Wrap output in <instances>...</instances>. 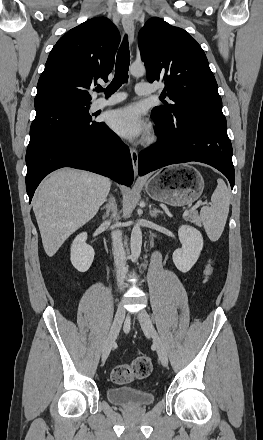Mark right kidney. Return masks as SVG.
Wrapping results in <instances>:
<instances>
[{"label":"right kidney","instance_id":"ca27d5eb","mask_svg":"<svg viewBox=\"0 0 263 440\" xmlns=\"http://www.w3.org/2000/svg\"><path fill=\"white\" fill-rule=\"evenodd\" d=\"M87 233L83 232L76 236L71 245L70 260L79 272H86L94 259V249L86 244Z\"/></svg>","mask_w":263,"mask_h":440}]
</instances>
